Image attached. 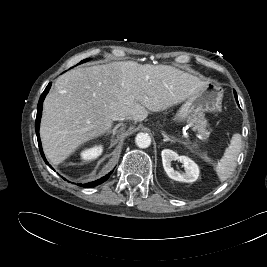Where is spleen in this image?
I'll return each mask as SVG.
<instances>
[{"label":"spleen","instance_id":"obj_1","mask_svg":"<svg viewBox=\"0 0 267 267\" xmlns=\"http://www.w3.org/2000/svg\"><path fill=\"white\" fill-rule=\"evenodd\" d=\"M242 148V137L236 133L232 136L230 144L225 149L223 157L215 165V170L221 182L227 180L236 168V161ZM206 162H210V158L202 156Z\"/></svg>","mask_w":267,"mask_h":267}]
</instances>
